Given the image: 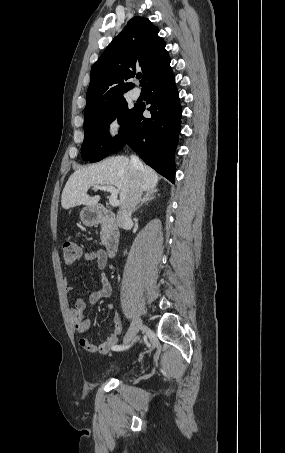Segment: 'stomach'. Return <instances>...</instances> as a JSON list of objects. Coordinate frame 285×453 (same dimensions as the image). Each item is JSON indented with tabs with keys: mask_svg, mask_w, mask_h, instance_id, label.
I'll return each mask as SVG.
<instances>
[{
	"mask_svg": "<svg viewBox=\"0 0 285 453\" xmlns=\"http://www.w3.org/2000/svg\"><path fill=\"white\" fill-rule=\"evenodd\" d=\"M80 219L86 226H93L98 221L97 211L93 207H85L80 212Z\"/></svg>",
	"mask_w": 285,
	"mask_h": 453,
	"instance_id": "0dacf381",
	"label": "stomach"
}]
</instances>
